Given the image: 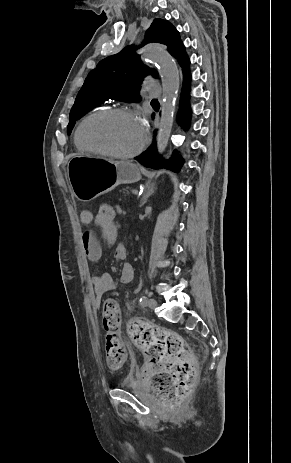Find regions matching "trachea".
<instances>
[{
	"instance_id": "obj_1",
	"label": "trachea",
	"mask_w": 291,
	"mask_h": 463,
	"mask_svg": "<svg viewBox=\"0 0 291 463\" xmlns=\"http://www.w3.org/2000/svg\"><path fill=\"white\" fill-rule=\"evenodd\" d=\"M157 101H158L157 99L152 100V102H157Z\"/></svg>"
}]
</instances>
